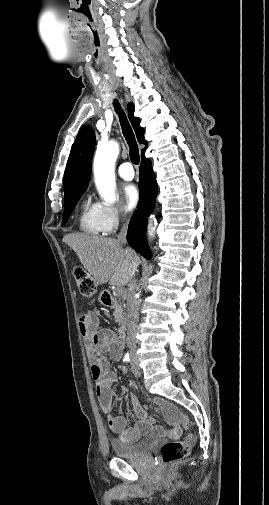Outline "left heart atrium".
Segmentation results:
<instances>
[{
    "label": "left heart atrium",
    "instance_id": "obj_1",
    "mask_svg": "<svg viewBox=\"0 0 269 505\" xmlns=\"http://www.w3.org/2000/svg\"><path fill=\"white\" fill-rule=\"evenodd\" d=\"M139 190L134 184H128L123 188V200L127 210L134 209L139 202Z\"/></svg>",
    "mask_w": 269,
    "mask_h": 505
}]
</instances>
